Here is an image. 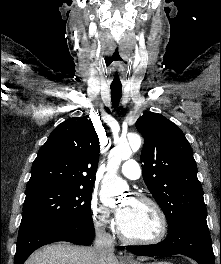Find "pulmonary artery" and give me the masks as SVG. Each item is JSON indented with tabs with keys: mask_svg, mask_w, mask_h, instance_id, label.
<instances>
[{
	"mask_svg": "<svg viewBox=\"0 0 221 264\" xmlns=\"http://www.w3.org/2000/svg\"><path fill=\"white\" fill-rule=\"evenodd\" d=\"M121 173L128 179L136 180L141 176V168L135 160L129 159L123 163Z\"/></svg>",
	"mask_w": 221,
	"mask_h": 264,
	"instance_id": "pulmonary-artery-1",
	"label": "pulmonary artery"
}]
</instances>
